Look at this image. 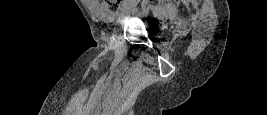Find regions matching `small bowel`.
<instances>
[{
  "mask_svg": "<svg viewBox=\"0 0 267 115\" xmlns=\"http://www.w3.org/2000/svg\"><path fill=\"white\" fill-rule=\"evenodd\" d=\"M89 8L98 18L110 19L112 13L99 1L97 0H86Z\"/></svg>",
  "mask_w": 267,
  "mask_h": 115,
  "instance_id": "small-bowel-1",
  "label": "small bowel"
}]
</instances>
